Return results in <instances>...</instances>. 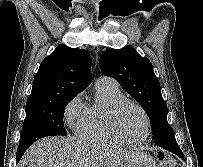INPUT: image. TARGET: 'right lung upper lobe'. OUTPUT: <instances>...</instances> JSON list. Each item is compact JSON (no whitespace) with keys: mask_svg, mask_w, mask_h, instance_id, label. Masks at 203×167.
I'll use <instances>...</instances> for the list:
<instances>
[{"mask_svg":"<svg viewBox=\"0 0 203 167\" xmlns=\"http://www.w3.org/2000/svg\"><path fill=\"white\" fill-rule=\"evenodd\" d=\"M91 81V58L87 50L57 47L41 63L26 104L75 97Z\"/></svg>","mask_w":203,"mask_h":167,"instance_id":"right-lung-upper-lobe-1","label":"right lung upper lobe"}]
</instances>
